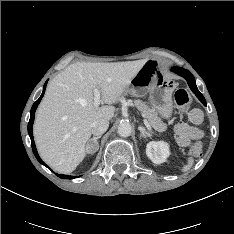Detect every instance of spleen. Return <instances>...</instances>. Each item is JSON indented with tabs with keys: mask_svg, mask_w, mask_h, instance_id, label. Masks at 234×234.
Masks as SVG:
<instances>
[{
	"mask_svg": "<svg viewBox=\"0 0 234 234\" xmlns=\"http://www.w3.org/2000/svg\"><path fill=\"white\" fill-rule=\"evenodd\" d=\"M193 164H194V159L191 157L188 158L187 164L185 166H183L182 171L186 172V171L190 170V168L192 167Z\"/></svg>",
	"mask_w": 234,
	"mask_h": 234,
	"instance_id": "spleen-1",
	"label": "spleen"
}]
</instances>
